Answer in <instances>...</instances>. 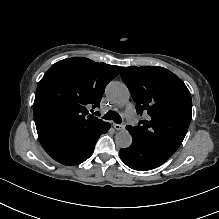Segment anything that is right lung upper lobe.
Returning a JSON list of instances; mask_svg holds the SVG:
<instances>
[{
  "label": "right lung upper lobe",
  "instance_id": "right-lung-upper-lobe-1",
  "mask_svg": "<svg viewBox=\"0 0 219 219\" xmlns=\"http://www.w3.org/2000/svg\"><path fill=\"white\" fill-rule=\"evenodd\" d=\"M120 66L73 57L53 64L40 80L33 105L39 139L89 133L105 122L88 113L100 106Z\"/></svg>",
  "mask_w": 219,
  "mask_h": 219
}]
</instances>
